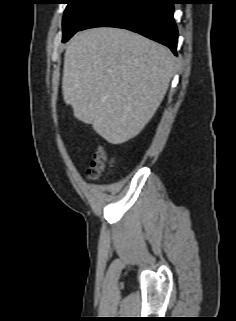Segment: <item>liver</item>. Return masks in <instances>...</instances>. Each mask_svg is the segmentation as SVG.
Here are the masks:
<instances>
[{
    "label": "liver",
    "mask_w": 236,
    "mask_h": 321,
    "mask_svg": "<svg viewBox=\"0 0 236 321\" xmlns=\"http://www.w3.org/2000/svg\"><path fill=\"white\" fill-rule=\"evenodd\" d=\"M174 71V55L159 43L124 29H88L66 47L63 99L78 120L122 144L151 120Z\"/></svg>",
    "instance_id": "6515ba94"
}]
</instances>
